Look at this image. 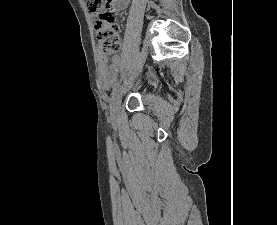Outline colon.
<instances>
[{"label":"colon","instance_id":"5ec220e1","mask_svg":"<svg viewBox=\"0 0 277 225\" xmlns=\"http://www.w3.org/2000/svg\"><path fill=\"white\" fill-rule=\"evenodd\" d=\"M87 7L99 13V20L95 25L97 39L102 44L105 54H114L120 50V27L117 23L116 11L113 3L117 0H85ZM116 6V4H115Z\"/></svg>","mask_w":277,"mask_h":225}]
</instances>
